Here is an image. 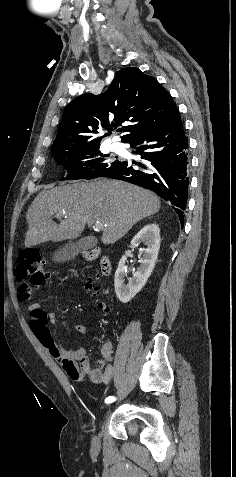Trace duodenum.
I'll list each match as a JSON object with an SVG mask.
<instances>
[{
    "label": "duodenum",
    "mask_w": 236,
    "mask_h": 477,
    "mask_svg": "<svg viewBox=\"0 0 236 477\" xmlns=\"http://www.w3.org/2000/svg\"><path fill=\"white\" fill-rule=\"evenodd\" d=\"M84 258L87 260H96L99 259L100 271L104 276H108L111 272V263L109 259L103 255V252L100 248H93L84 252Z\"/></svg>",
    "instance_id": "obj_1"
}]
</instances>
